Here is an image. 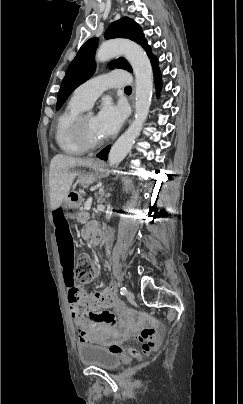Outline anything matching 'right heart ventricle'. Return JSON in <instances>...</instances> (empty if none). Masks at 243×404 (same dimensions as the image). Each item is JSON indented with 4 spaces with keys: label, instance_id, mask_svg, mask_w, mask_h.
Segmentation results:
<instances>
[{
    "label": "right heart ventricle",
    "instance_id": "1",
    "mask_svg": "<svg viewBox=\"0 0 243 404\" xmlns=\"http://www.w3.org/2000/svg\"><path fill=\"white\" fill-rule=\"evenodd\" d=\"M86 109V104L79 97L78 88H76L67 105L57 117L54 140L59 151L67 156H82L88 151L76 140L72 132L73 122Z\"/></svg>",
    "mask_w": 243,
    "mask_h": 404
}]
</instances>
